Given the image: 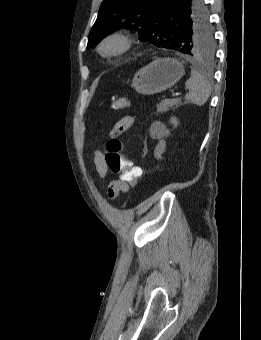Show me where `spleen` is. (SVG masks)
I'll use <instances>...</instances> for the list:
<instances>
[{"label": "spleen", "mask_w": 261, "mask_h": 340, "mask_svg": "<svg viewBox=\"0 0 261 340\" xmlns=\"http://www.w3.org/2000/svg\"><path fill=\"white\" fill-rule=\"evenodd\" d=\"M188 94L186 101L195 105H204L211 94V86L207 79L197 70L192 69L191 77L185 83Z\"/></svg>", "instance_id": "obj_1"}]
</instances>
